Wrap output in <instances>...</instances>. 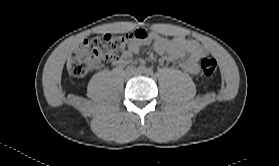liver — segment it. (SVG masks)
Masks as SVG:
<instances>
[{
  "mask_svg": "<svg viewBox=\"0 0 279 166\" xmlns=\"http://www.w3.org/2000/svg\"><path fill=\"white\" fill-rule=\"evenodd\" d=\"M70 68H71V61L69 59L68 62H67V69L69 70Z\"/></svg>",
  "mask_w": 279,
  "mask_h": 166,
  "instance_id": "obj_1",
  "label": "liver"
}]
</instances>
